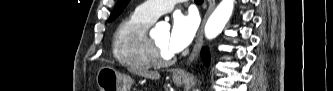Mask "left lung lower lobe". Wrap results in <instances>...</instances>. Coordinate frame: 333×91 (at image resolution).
Listing matches in <instances>:
<instances>
[{
    "label": "left lung lower lobe",
    "instance_id": "obj_1",
    "mask_svg": "<svg viewBox=\"0 0 333 91\" xmlns=\"http://www.w3.org/2000/svg\"><path fill=\"white\" fill-rule=\"evenodd\" d=\"M201 56H202V59H203V62L205 63V65H208V62H209V52H208L207 48H205V49L202 50Z\"/></svg>",
    "mask_w": 333,
    "mask_h": 91
}]
</instances>
